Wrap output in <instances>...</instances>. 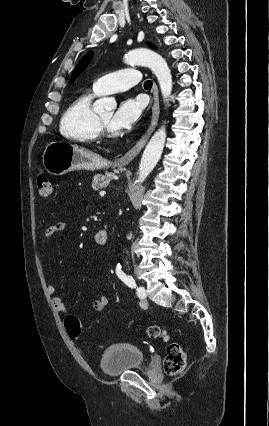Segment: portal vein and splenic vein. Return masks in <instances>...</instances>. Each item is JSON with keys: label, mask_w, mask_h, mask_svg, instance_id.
I'll use <instances>...</instances> for the list:
<instances>
[{"label": "portal vein and splenic vein", "mask_w": 269, "mask_h": 426, "mask_svg": "<svg viewBox=\"0 0 269 426\" xmlns=\"http://www.w3.org/2000/svg\"><path fill=\"white\" fill-rule=\"evenodd\" d=\"M105 194H106L105 191H100V193H99L100 196H104Z\"/></svg>", "instance_id": "obj_1"}]
</instances>
